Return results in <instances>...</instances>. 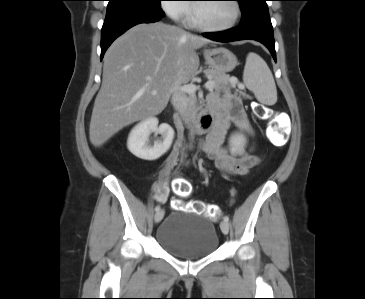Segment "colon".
I'll use <instances>...</instances> for the list:
<instances>
[{"label": "colon", "instance_id": "colon-1", "mask_svg": "<svg viewBox=\"0 0 365 299\" xmlns=\"http://www.w3.org/2000/svg\"><path fill=\"white\" fill-rule=\"evenodd\" d=\"M230 1V0H229ZM257 115L264 119L269 120L267 128L268 139L277 145H282L287 140V133L285 126L281 120L273 114V112L264 105H258L256 108ZM173 189L179 195V199L174 202V208L184 210L187 212H194L197 214H204L205 216L218 219L220 215V209L215 204H206L201 201H189L185 202L184 197H187L192 192V187L188 181L184 179H175L173 182Z\"/></svg>", "mask_w": 365, "mask_h": 299}]
</instances>
